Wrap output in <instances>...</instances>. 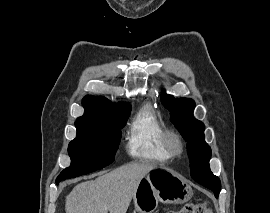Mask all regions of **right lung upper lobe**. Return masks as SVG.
<instances>
[{
  "mask_svg": "<svg viewBox=\"0 0 270 213\" xmlns=\"http://www.w3.org/2000/svg\"><path fill=\"white\" fill-rule=\"evenodd\" d=\"M82 104L85 112L76 122L112 120L131 110L130 105L113 104L108 99L97 96H85Z\"/></svg>",
  "mask_w": 270,
  "mask_h": 213,
  "instance_id": "cb5924a9",
  "label": "right lung upper lobe"
}]
</instances>
